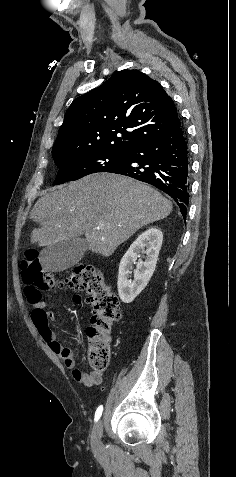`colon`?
<instances>
[{
	"instance_id": "colon-1",
	"label": "colon",
	"mask_w": 236,
	"mask_h": 477,
	"mask_svg": "<svg viewBox=\"0 0 236 477\" xmlns=\"http://www.w3.org/2000/svg\"><path fill=\"white\" fill-rule=\"evenodd\" d=\"M22 280L29 302L39 301L41 292L70 287L85 292L93 306L92 327L88 330L87 362L94 372H104L111 360L108 336L121 318L118 297L105 283L102 272L92 265H78L67 277L46 271L39 254L30 250L21 263Z\"/></svg>"
}]
</instances>
